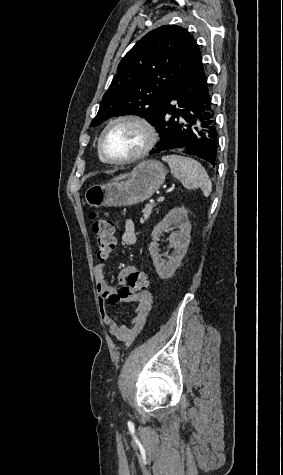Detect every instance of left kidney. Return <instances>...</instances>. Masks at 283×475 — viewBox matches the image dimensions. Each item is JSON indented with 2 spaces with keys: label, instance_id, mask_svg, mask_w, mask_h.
Listing matches in <instances>:
<instances>
[{
  "label": "left kidney",
  "instance_id": "1",
  "mask_svg": "<svg viewBox=\"0 0 283 475\" xmlns=\"http://www.w3.org/2000/svg\"><path fill=\"white\" fill-rule=\"evenodd\" d=\"M170 226L179 228L180 232H172L169 236L171 247H174L172 255H167L168 259H162L159 255L157 241L162 236L163 230H174ZM191 224L189 222L187 210L185 208H173L160 224L155 226L151 236L153 241L149 245L150 255L156 267V271L161 279H168L174 275L175 269L179 267L182 257H184L190 243Z\"/></svg>",
  "mask_w": 283,
  "mask_h": 475
}]
</instances>
